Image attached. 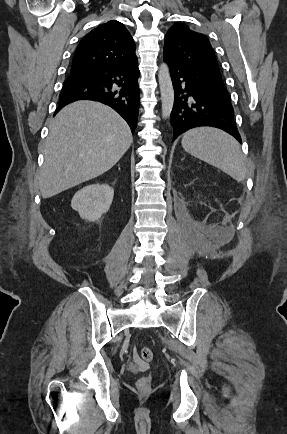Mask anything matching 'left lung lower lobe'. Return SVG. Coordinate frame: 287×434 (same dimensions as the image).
I'll list each match as a JSON object with an SVG mask.
<instances>
[{"mask_svg":"<svg viewBox=\"0 0 287 434\" xmlns=\"http://www.w3.org/2000/svg\"><path fill=\"white\" fill-rule=\"evenodd\" d=\"M168 63L175 91L170 116L174 141L180 134L199 126L222 129L239 142L230 96L221 78L183 63Z\"/></svg>","mask_w":287,"mask_h":434,"instance_id":"obj_1","label":"left lung lower lobe"}]
</instances>
